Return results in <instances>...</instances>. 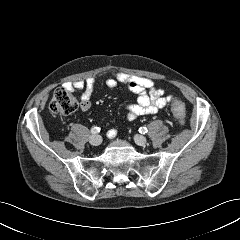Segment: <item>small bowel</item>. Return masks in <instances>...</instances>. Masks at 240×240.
<instances>
[{
	"label": "small bowel",
	"mask_w": 240,
	"mask_h": 240,
	"mask_svg": "<svg viewBox=\"0 0 240 240\" xmlns=\"http://www.w3.org/2000/svg\"><path fill=\"white\" fill-rule=\"evenodd\" d=\"M106 84L110 88H116L119 84L124 85L129 91L137 95L134 104L126 106V118L133 121L142 115L155 114L159 109L166 106L172 99L163 89L157 88L154 82L146 77L130 75L126 73H116L106 79ZM96 85V77H89L85 81H76L66 84L69 90H81V109L89 110L91 97ZM110 138L115 137L116 129L109 130Z\"/></svg>",
	"instance_id": "small-bowel-1"
}]
</instances>
